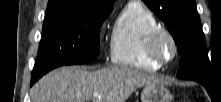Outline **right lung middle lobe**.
<instances>
[{
  "label": "right lung middle lobe",
  "instance_id": "right-lung-middle-lobe-1",
  "mask_svg": "<svg viewBox=\"0 0 221 102\" xmlns=\"http://www.w3.org/2000/svg\"><path fill=\"white\" fill-rule=\"evenodd\" d=\"M112 10L77 8L46 12L32 77L40 78L61 65L95 60L101 25Z\"/></svg>",
  "mask_w": 221,
  "mask_h": 102
}]
</instances>
